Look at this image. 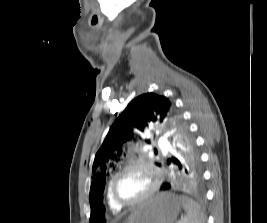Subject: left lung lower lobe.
<instances>
[{"label": "left lung lower lobe", "instance_id": "1", "mask_svg": "<svg viewBox=\"0 0 267 223\" xmlns=\"http://www.w3.org/2000/svg\"><path fill=\"white\" fill-rule=\"evenodd\" d=\"M174 176H187L174 177ZM203 171H174V173H163V182L161 186L163 192H174L176 189H201V179ZM175 182H183L185 184H176ZM175 187V188H174Z\"/></svg>", "mask_w": 267, "mask_h": 223}]
</instances>
